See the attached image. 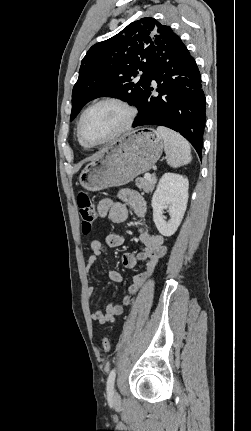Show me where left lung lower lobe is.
Returning a JSON list of instances; mask_svg holds the SVG:
<instances>
[{
    "mask_svg": "<svg viewBox=\"0 0 251 431\" xmlns=\"http://www.w3.org/2000/svg\"><path fill=\"white\" fill-rule=\"evenodd\" d=\"M157 83L156 91L152 81ZM206 99L194 58L174 33L156 50L133 127L160 125L179 132L201 158Z\"/></svg>",
    "mask_w": 251,
    "mask_h": 431,
    "instance_id": "1",
    "label": "left lung lower lobe"
}]
</instances>
